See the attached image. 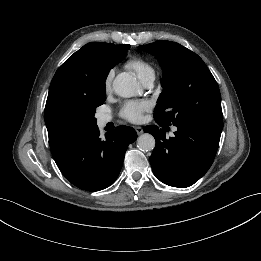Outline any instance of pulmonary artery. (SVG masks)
<instances>
[{
	"label": "pulmonary artery",
	"instance_id": "pulmonary-artery-1",
	"mask_svg": "<svg viewBox=\"0 0 261 261\" xmlns=\"http://www.w3.org/2000/svg\"><path fill=\"white\" fill-rule=\"evenodd\" d=\"M153 80H154L153 78L147 79V80L143 81L142 83L145 87L150 88L153 84ZM110 121H111V117L109 115H101L98 118V122L101 126L106 125Z\"/></svg>",
	"mask_w": 261,
	"mask_h": 261
}]
</instances>
